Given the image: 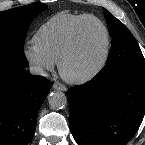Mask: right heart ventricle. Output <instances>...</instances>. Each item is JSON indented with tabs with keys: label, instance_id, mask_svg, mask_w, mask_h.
Returning a JSON list of instances; mask_svg holds the SVG:
<instances>
[{
	"label": "right heart ventricle",
	"instance_id": "1",
	"mask_svg": "<svg viewBox=\"0 0 145 145\" xmlns=\"http://www.w3.org/2000/svg\"><path fill=\"white\" fill-rule=\"evenodd\" d=\"M90 14L61 12L49 18L33 36V45L58 63L68 47L75 26Z\"/></svg>",
	"mask_w": 145,
	"mask_h": 145
}]
</instances>
